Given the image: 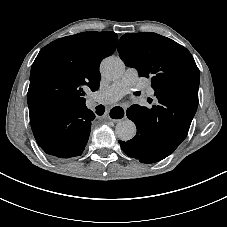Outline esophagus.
<instances>
[{
	"label": "esophagus",
	"instance_id": "1",
	"mask_svg": "<svg viewBox=\"0 0 227 227\" xmlns=\"http://www.w3.org/2000/svg\"><path fill=\"white\" fill-rule=\"evenodd\" d=\"M125 116L126 110L122 106H112L107 112V117L113 121H121Z\"/></svg>",
	"mask_w": 227,
	"mask_h": 227
}]
</instances>
